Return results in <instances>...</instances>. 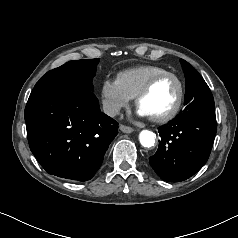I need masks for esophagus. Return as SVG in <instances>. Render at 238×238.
<instances>
[{
  "label": "esophagus",
  "mask_w": 238,
  "mask_h": 238,
  "mask_svg": "<svg viewBox=\"0 0 238 238\" xmlns=\"http://www.w3.org/2000/svg\"><path fill=\"white\" fill-rule=\"evenodd\" d=\"M119 129L124 133H132L134 131L133 128L122 124L119 126Z\"/></svg>",
  "instance_id": "obj_1"
}]
</instances>
